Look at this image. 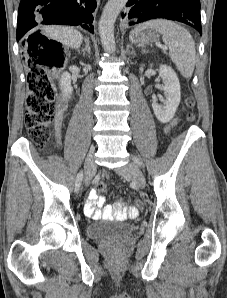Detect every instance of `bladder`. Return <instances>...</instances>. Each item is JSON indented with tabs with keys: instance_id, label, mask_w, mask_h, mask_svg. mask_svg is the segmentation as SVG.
<instances>
[{
	"instance_id": "bladder-1",
	"label": "bladder",
	"mask_w": 227,
	"mask_h": 298,
	"mask_svg": "<svg viewBox=\"0 0 227 298\" xmlns=\"http://www.w3.org/2000/svg\"><path fill=\"white\" fill-rule=\"evenodd\" d=\"M134 225L121 221H100L87 226L86 233L92 239L120 238L131 234Z\"/></svg>"
}]
</instances>
